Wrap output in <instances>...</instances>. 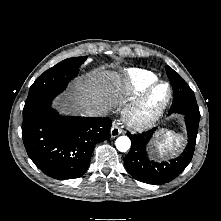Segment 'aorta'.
<instances>
[{"label": "aorta", "mask_w": 221, "mask_h": 221, "mask_svg": "<svg viewBox=\"0 0 221 221\" xmlns=\"http://www.w3.org/2000/svg\"><path fill=\"white\" fill-rule=\"evenodd\" d=\"M115 144L120 152H126L130 149L131 141L127 136H120L116 139Z\"/></svg>", "instance_id": "obj_1"}]
</instances>
